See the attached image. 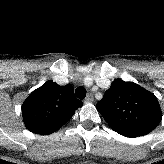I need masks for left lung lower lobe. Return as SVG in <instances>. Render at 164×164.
I'll use <instances>...</instances> for the list:
<instances>
[{
	"label": "left lung lower lobe",
	"instance_id": "0a47b994",
	"mask_svg": "<svg viewBox=\"0 0 164 164\" xmlns=\"http://www.w3.org/2000/svg\"><path fill=\"white\" fill-rule=\"evenodd\" d=\"M125 137H130V138H134V137H138L137 135H134V134H127V133H119Z\"/></svg>",
	"mask_w": 164,
	"mask_h": 164
}]
</instances>
